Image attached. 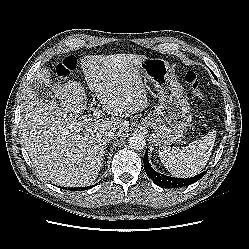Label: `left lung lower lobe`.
Returning <instances> with one entry per match:
<instances>
[{
  "instance_id": "1",
  "label": "left lung lower lobe",
  "mask_w": 249,
  "mask_h": 249,
  "mask_svg": "<svg viewBox=\"0 0 249 249\" xmlns=\"http://www.w3.org/2000/svg\"><path fill=\"white\" fill-rule=\"evenodd\" d=\"M144 169L146 174L153 180L155 184L163 188H179L195 183L197 180L201 179L206 171L191 177V178H174L160 174L152 169L148 161V152L146 151L144 156Z\"/></svg>"
}]
</instances>
